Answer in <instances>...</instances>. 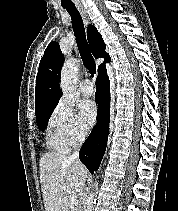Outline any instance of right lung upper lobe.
Listing matches in <instances>:
<instances>
[{
	"label": "right lung upper lobe",
	"mask_w": 178,
	"mask_h": 211,
	"mask_svg": "<svg viewBox=\"0 0 178 211\" xmlns=\"http://www.w3.org/2000/svg\"><path fill=\"white\" fill-rule=\"evenodd\" d=\"M87 38L94 57H103L105 62H110L111 59L105 51L106 46L102 36L92 25L87 28ZM105 62L99 66V74L106 72ZM62 65L63 56L59 44L51 42L40 61L36 77L35 114L48 107L56 106L61 98L59 79Z\"/></svg>",
	"instance_id": "right-lung-upper-lobe-1"
}]
</instances>
